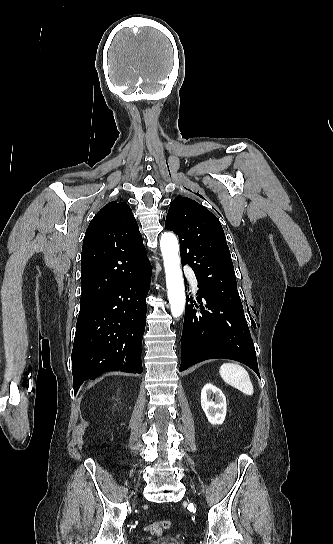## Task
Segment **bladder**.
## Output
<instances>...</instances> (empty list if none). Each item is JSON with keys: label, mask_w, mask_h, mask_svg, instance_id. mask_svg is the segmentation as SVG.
<instances>
[{"label": "bladder", "mask_w": 333, "mask_h": 544, "mask_svg": "<svg viewBox=\"0 0 333 544\" xmlns=\"http://www.w3.org/2000/svg\"><path fill=\"white\" fill-rule=\"evenodd\" d=\"M150 544H186L183 540L175 538L173 536H165L158 538Z\"/></svg>", "instance_id": "obj_1"}]
</instances>
